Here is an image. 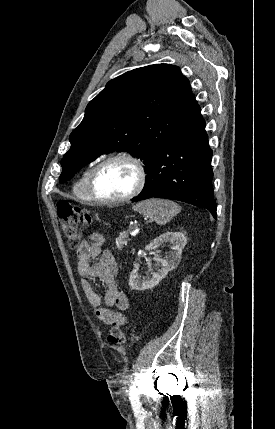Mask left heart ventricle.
Returning <instances> with one entry per match:
<instances>
[{
    "label": "left heart ventricle",
    "instance_id": "obj_1",
    "mask_svg": "<svg viewBox=\"0 0 275 429\" xmlns=\"http://www.w3.org/2000/svg\"><path fill=\"white\" fill-rule=\"evenodd\" d=\"M136 171L126 161H114L103 167L95 179V193L103 199H114L129 193L136 182Z\"/></svg>",
    "mask_w": 275,
    "mask_h": 429
}]
</instances>
